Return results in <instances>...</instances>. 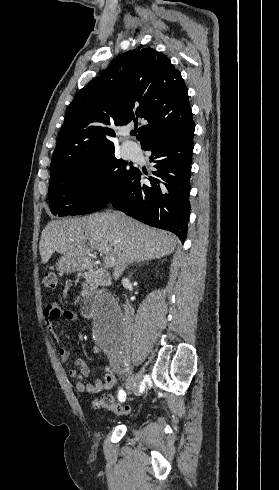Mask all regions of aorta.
I'll use <instances>...</instances> for the list:
<instances>
[{"label": "aorta", "mask_w": 279, "mask_h": 490, "mask_svg": "<svg viewBox=\"0 0 279 490\" xmlns=\"http://www.w3.org/2000/svg\"><path fill=\"white\" fill-rule=\"evenodd\" d=\"M125 327V317L118 302L110 296L99 298L93 320V333L97 341L106 348L115 347L123 340Z\"/></svg>", "instance_id": "762f6f07"}]
</instances>
